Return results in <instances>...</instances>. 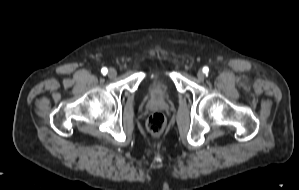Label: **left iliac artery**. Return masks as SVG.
Returning a JSON list of instances; mask_svg holds the SVG:
<instances>
[{"mask_svg": "<svg viewBox=\"0 0 299 190\" xmlns=\"http://www.w3.org/2000/svg\"><path fill=\"white\" fill-rule=\"evenodd\" d=\"M203 72H204L205 74H207V73L209 72V68H208V67H204V68H203Z\"/></svg>", "mask_w": 299, "mask_h": 190, "instance_id": "1", "label": "left iliac artery"}]
</instances>
